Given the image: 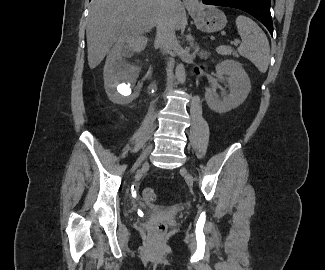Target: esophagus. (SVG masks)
Listing matches in <instances>:
<instances>
[{
	"label": "esophagus",
	"mask_w": 325,
	"mask_h": 270,
	"mask_svg": "<svg viewBox=\"0 0 325 270\" xmlns=\"http://www.w3.org/2000/svg\"><path fill=\"white\" fill-rule=\"evenodd\" d=\"M183 2L187 10H194L199 6L198 0H183Z\"/></svg>",
	"instance_id": "esophagus-1"
}]
</instances>
